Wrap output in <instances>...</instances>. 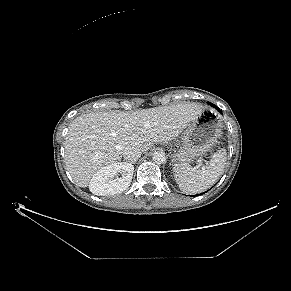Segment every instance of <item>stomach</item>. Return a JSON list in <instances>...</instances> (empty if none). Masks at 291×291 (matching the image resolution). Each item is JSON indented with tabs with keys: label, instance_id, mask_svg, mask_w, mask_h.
Wrapping results in <instances>:
<instances>
[{
	"label": "stomach",
	"instance_id": "stomach-1",
	"mask_svg": "<svg viewBox=\"0 0 291 291\" xmlns=\"http://www.w3.org/2000/svg\"><path fill=\"white\" fill-rule=\"evenodd\" d=\"M221 136L218 114L207 109L192 120L181 135V145L173 157L178 164L192 161L210 151Z\"/></svg>",
	"mask_w": 291,
	"mask_h": 291
}]
</instances>
